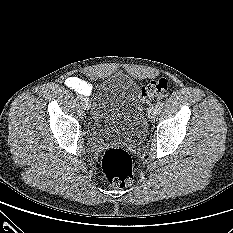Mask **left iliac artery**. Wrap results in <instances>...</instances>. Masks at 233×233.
Wrapping results in <instances>:
<instances>
[{"label":"left iliac artery","mask_w":233,"mask_h":233,"mask_svg":"<svg viewBox=\"0 0 233 233\" xmlns=\"http://www.w3.org/2000/svg\"><path fill=\"white\" fill-rule=\"evenodd\" d=\"M163 105V103L161 102V101H158L157 103H156V106L157 107H161Z\"/></svg>","instance_id":"1"}]
</instances>
